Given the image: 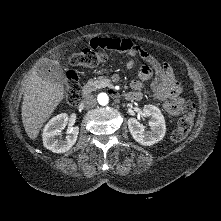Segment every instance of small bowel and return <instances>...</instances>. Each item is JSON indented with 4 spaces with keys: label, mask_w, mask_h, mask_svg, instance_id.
Segmentation results:
<instances>
[{
    "label": "small bowel",
    "mask_w": 221,
    "mask_h": 221,
    "mask_svg": "<svg viewBox=\"0 0 221 221\" xmlns=\"http://www.w3.org/2000/svg\"><path fill=\"white\" fill-rule=\"evenodd\" d=\"M90 48L112 50L124 53L130 57L125 67L131 69L135 65L133 58H139L144 65L138 72V77L131 82V88L137 99L142 98L143 83L149 80L154 97L162 102L164 110L170 115H179L183 110L184 100L181 97L182 87L176 79L169 64L160 63L155 57L144 51L129 39L93 38Z\"/></svg>",
    "instance_id": "small-bowel-1"
}]
</instances>
